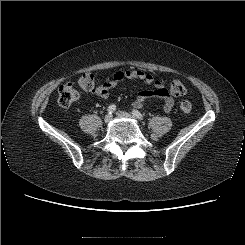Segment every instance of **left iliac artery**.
I'll use <instances>...</instances> for the list:
<instances>
[{
  "label": "left iliac artery",
  "instance_id": "left-iliac-artery-1",
  "mask_svg": "<svg viewBox=\"0 0 245 245\" xmlns=\"http://www.w3.org/2000/svg\"><path fill=\"white\" fill-rule=\"evenodd\" d=\"M132 114L139 120H143V115L138 110H133Z\"/></svg>",
  "mask_w": 245,
  "mask_h": 245
}]
</instances>
